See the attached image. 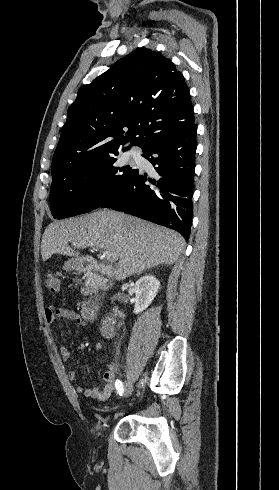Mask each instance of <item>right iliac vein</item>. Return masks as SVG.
I'll list each match as a JSON object with an SVG mask.
<instances>
[{
	"mask_svg": "<svg viewBox=\"0 0 279 490\" xmlns=\"http://www.w3.org/2000/svg\"><path fill=\"white\" fill-rule=\"evenodd\" d=\"M126 385H127V388L125 389L124 394L126 396H129L133 391V386H132L131 382H127Z\"/></svg>",
	"mask_w": 279,
	"mask_h": 490,
	"instance_id": "63e3f726",
	"label": "right iliac vein"
}]
</instances>
